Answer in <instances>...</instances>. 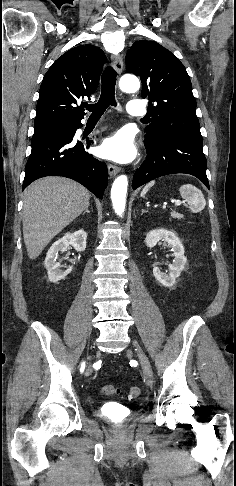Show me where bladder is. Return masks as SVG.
I'll use <instances>...</instances> for the list:
<instances>
[{
    "mask_svg": "<svg viewBox=\"0 0 236 486\" xmlns=\"http://www.w3.org/2000/svg\"><path fill=\"white\" fill-rule=\"evenodd\" d=\"M99 411L105 416H112L120 412V408L112 403L104 404Z\"/></svg>",
    "mask_w": 236,
    "mask_h": 486,
    "instance_id": "obj_1",
    "label": "bladder"
}]
</instances>
